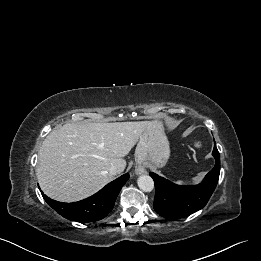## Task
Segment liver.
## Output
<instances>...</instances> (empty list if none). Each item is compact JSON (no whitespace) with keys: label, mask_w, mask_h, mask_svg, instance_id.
Returning a JSON list of instances; mask_svg holds the SVG:
<instances>
[{"label":"liver","mask_w":261,"mask_h":261,"mask_svg":"<svg viewBox=\"0 0 261 261\" xmlns=\"http://www.w3.org/2000/svg\"><path fill=\"white\" fill-rule=\"evenodd\" d=\"M150 125L149 121L67 123L52 130L39 150L36 171L40 188L60 202L93 195L113 180L112 166L124 171L123 157Z\"/></svg>","instance_id":"obj_1"}]
</instances>
